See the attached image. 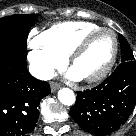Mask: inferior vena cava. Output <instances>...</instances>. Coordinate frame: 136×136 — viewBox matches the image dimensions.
<instances>
[{"instance_id": "602c4592", "label": "inferior vena cava", "mask_w": 136, "mask_h": 136, "mask_svg": "<svg viewBox=\"0 0 136 136\" xmlns=\"http://www.w3.org/2000/svg\"><path fill=\"white\" fill-rule=\"evenodd\" d=\"M29 72L32 76L40 80H49L54 75L53 69L36 64H31L29 66Z\"/></svg>"}]
</instances>
